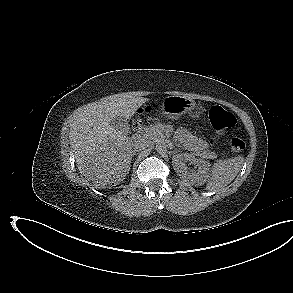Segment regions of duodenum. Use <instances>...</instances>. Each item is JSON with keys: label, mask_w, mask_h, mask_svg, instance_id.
<instances>
[{"label": "duodenum", "mask_w": 293, "mask_h": 293, "mask_svg": "<svg viewBox=\"0 0 293 293\" xmlns=\"http://www.w3.org/2000/svg\"><path fill=\"white\" fill-rule=\"evenodd\" d=\"M144 137V125L139 124L136 128V132L133 136L134 142L135 143H140L143 140Z\"/></svg>", "instance_id": "duodenum-1"}]
</instances>
